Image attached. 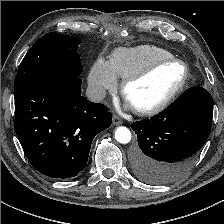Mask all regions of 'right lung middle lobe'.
<instances>
[{"label":"right lung middle lobe","instance_id":"dd1d6c3e","mask_svg":"<svg viewBox=\"0 0 224 224\" xmlns=\"http://www.w3.org/2000/svg\"><path fill=\"white\" fill-rule=\"evenodd\" d=\"M79 39L51 32L35 42L21 62L14 94L37 79L52 75L79 77L82 64L77 53Z\"/></svg>","mask_w":224,"mask_h":224}]
</instances>
